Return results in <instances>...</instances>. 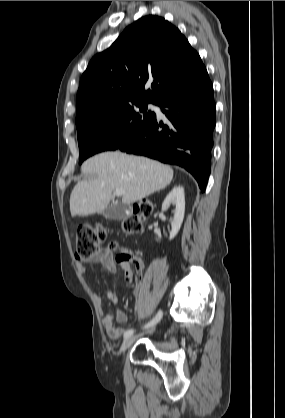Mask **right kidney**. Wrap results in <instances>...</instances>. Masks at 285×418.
<instances>
[{"label":"right kidney","instance_id":"1","mask_svg":"<svg viewBox=\"0 0 285 418\" xmlns=\"http://www.w3.org/2000/svg\"><path fill=\"white\" fill-rule=\"evenodd\" d=\"M172 204L175 206L174 218L171 221L172 230L169 239L172 240L180 230L185 213V195L184 189L181 186L174 187L165 198L162 208L165 209Z\"/></svg>","mask_w":285,"mask_h":418}]
</instances>
